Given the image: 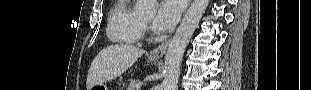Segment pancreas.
Instances as JSON below:
<instances>
[{"label": "pancreas", "mask_w": 311, "mask_h": 90, "mask_svg": "<svg viewBox=\"0 0 311 90\" xmlns=\"http://www.w3.org/2000/svg\"><path fill=\"white\" fill-rule=\"evenodd\" d=\"M127 90H139V83L137 81L132 80Z\"/></svg>", "instance_id": "cf45deb5"}]
</instances>
